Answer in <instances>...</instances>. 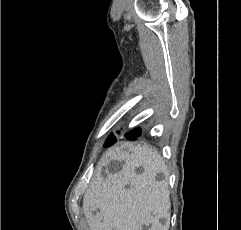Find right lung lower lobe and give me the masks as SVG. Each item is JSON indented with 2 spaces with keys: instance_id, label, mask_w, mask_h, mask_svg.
I'll return each mask as SVG.
<instances>
[{
  "instance_id": "right-lung-lower-lobe-1",
  "label": "right lung lower lobe",
  "mask_w": 241,
  "mask_h": 230,
  "mask_svg": "<svg viewBox=\"0 0 241 230\" xmlns=\"http://www.w3.org/2000/svg\"><path fill=\"white\" fill-rule=\"evenodd\" d=\"M132 133H134V134H137V135H140L141 134V129L140 128H137V129H135V130H133V131H131ZM130 133V132H129Z\"/></svg>"
}]
</instances>
